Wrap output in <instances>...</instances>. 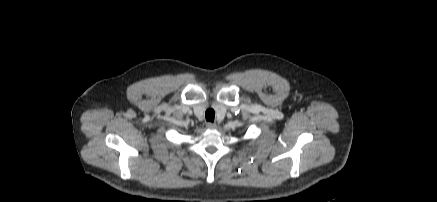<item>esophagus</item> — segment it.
Masks as SVG:
<instances>
[{
  "label": "esophagus",
  "mask_w": 437,
  "mask_h": 202,
  "mask_svg": "<svg viewBox=\"0 0 437 202\" xmlns=\"http://www.w3.org/2000/svg\"><path fill=\"white\" fill-rule=\"evenodd\" d=\"M206 127L208 128V129H214L215 127H216V125L215 124H213V123H207L206 124Z\"/></svg>",
  "instance_id": "34e87169"
}]
</instances>
